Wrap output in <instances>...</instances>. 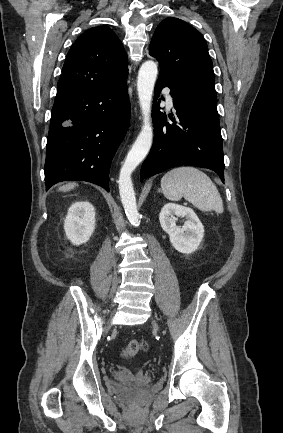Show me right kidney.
Wrapping results in <instances>:
<instances>
[{"mask_svg":"<svg viewBox=\"0 0 283 433\" xmlns=\"http://www.w3.org/2000/svg\"><path fill=\"white\" fill-rule=\"evenodd\" d=\"M95 209L90 202L73 203L64 221L67 238L74 244L86 243L95 230Z\"/></svg>","mask_w":283,"mask_h":433,"instance_id":"ca27d5eb","label":"right kidney"}]
</instances>
